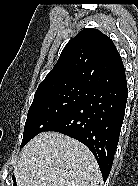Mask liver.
I'll return each instance as SVG.
<instances>
[{
	"mask_svg": "<svg viewBox=\"0 0 138 186\" xmlns=\"http://www.w3.org/2000/svg\"><path fill=\"white\" fill-rule=\"evenodd\" d=\"M17 186H102L94 155L81 142L58 132H42L22 150Z\"/></svg>",
	"mask_w": 138,
	"mask_h": 186,
	"instance_id": "6515ba94",
	"label": "liver"
}]
</instances>
